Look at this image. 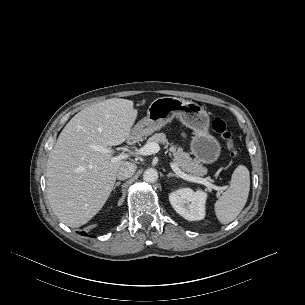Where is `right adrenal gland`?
Returning <instances> with one entry per match:
<instances>
[{
    "mask_svg": "<svg viewBox=\"0 0 305 305\" xmlns=\"http://www.w3.org/2000/svg\"><path fill=\"white\" fill-rule=\"evenodd\" d=\"M120 184H121V181L116 182L115 185L113 186L112 190L115 191L116 187H119Z\"/></svg>",
    "mask_w": 305,
    "mask_h": 305,
    "instance_id": "1",
    "label": "right adrenal gland"
}]
</instances>
